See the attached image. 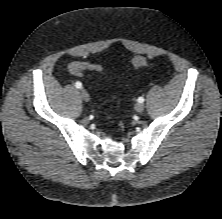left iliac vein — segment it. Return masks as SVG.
Masks as SVG:
<instances>
[{"mask_svg":"<svg viewBox=\"0 0 222 219\" xmlns=\"http://www.w3.org/2000/svg\"><path fill=\"white\" fill-rule=\"evenodd\" d=\"M134 109H135L136 112L141 113V112L144 111L145 106H144V104H142V103H137V104L135 105Z\"/></svg>","mask_w":222,"mask_h":219,"instance_id":"left-iliac-vein-1","label":"left iliac vein"}]
</instances>
